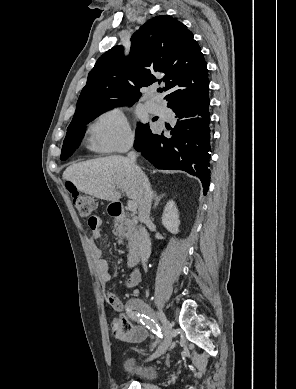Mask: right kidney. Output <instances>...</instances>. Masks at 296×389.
<instances>
[{
    "mask_svg": "<svg viewBox=\"0 0 296 389\" xmlns=\"http://www.w3.org/2000/svg\"><path fill=\"white\" fill-rule=\"evenodd\" d=\"M162 224L169 232L173 234H177L179 232V213L173 200L167 202L164 208Z\"/></svg>",
    "mask_w": 296,
    "mask_h": 389,
    "instance_id": "1",
    "label": "right kidney"
}]
</instances>
